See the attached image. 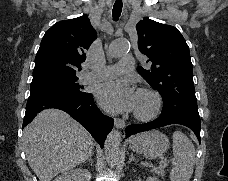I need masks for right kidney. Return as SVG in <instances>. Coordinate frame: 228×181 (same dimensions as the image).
I'll return each instance as SVG.
<instances>
[{"mask_svg":"<svg viewBox=\"0 0 228 181\" xmlns=\"http://www.w3.org/2000/svg\"><path fill=\"white\" fill-rule=\"evenodd\" d=\"M55 181H91V173L86 169H73V171H65L63 175H59Z\"/></svg>","mask_w":228,"mask_h":181,"instance_id":"right-kidney-1","label":"right kidney"}]
</instances>
